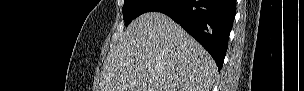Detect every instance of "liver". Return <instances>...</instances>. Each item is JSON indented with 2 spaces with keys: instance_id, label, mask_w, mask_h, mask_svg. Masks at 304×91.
<instances>
[{
  "instance_id": "6515ba94",
  "label": "liver",
  "mask_w": 304,
  "mask_h": 91,
  "mask_svg": "<svg viewBox=\"0 0 304 91\" xmlns=\"http://www.w3.org/2000/svg\"><path fill=\"white\" fill-rule=\"evenodd\" d=\"M210 54L165 14L136 18L103 64L99 91H210Z\"/></svg>"
}]
</instances>
